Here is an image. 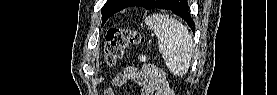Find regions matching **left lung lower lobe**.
I'll return each instance as SVG.
<instances>
[{
	"label": "left lung lower lobe",
	"mask_w": 277,
	"mask_h": 95,
	"mask_svg": "<svg viewBox=\"0 0 277 95\" xmlns=\"http://www.w3.org/2000/svg\"><path fill=\"white\" fill-rule=\"evenodd\" d=\"M149 5L150 0H134L128 7L140 6L148 9ZM156 8L171 10L175 14L182 17L192 30L195 29L194 22L192 21L190 14L188 12V3L186 0H181V2L178 5H176V0H164L163 3Z\"/></svg>",
	"instance_id": "left-lung-lower-lobe-1"
}]
</instances>
